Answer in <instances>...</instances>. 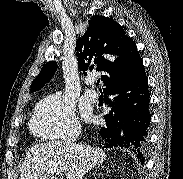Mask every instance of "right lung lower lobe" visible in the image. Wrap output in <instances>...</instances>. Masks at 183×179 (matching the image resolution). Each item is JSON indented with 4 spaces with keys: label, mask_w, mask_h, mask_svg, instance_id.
<instances>
[{
    "label": "right lung lower lobe",
    "mask_w": 183,
    "mask_h": 179,
    "mask_svg": "<svg viewBox=\"0 0 183 179\" xmlns=\"http://www.w3.org/2000/svg\"><path fill=\"white\" fill-rule=\"evenodd\" d=\"M111 111L98 131L105 148L122 147L135 153L143 164L150 122L148 81L141 64L133 73L104 88Z\"/></svg>",
    "instance_id": "1"
}]
</instances>
